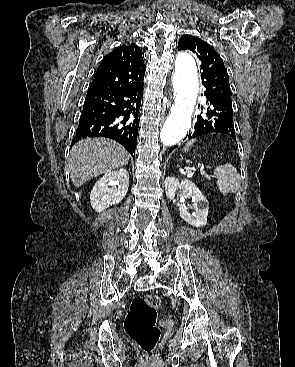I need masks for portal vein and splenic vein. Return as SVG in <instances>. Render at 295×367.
I'll return each instance as SVG.
<instances>
[{
  "mask_svg": "<svg viewBox=\"0 0 295 367\" xmlns=\"http://www.w3.org/2000/svg\"><path fill=\"white\" fill-rule=\"evenodd\" d=\"M200 173H201V175L202 176H204L207 180H211L212 178H211V176L210 175H208L205 171H204V169H200Z\"/></svg>",
  "mask_w": 295,
  "mask_h": 367,
  "instance_id": "18ae733b",
  "label": "portal vein and splenic vein"
}]
</instances>
